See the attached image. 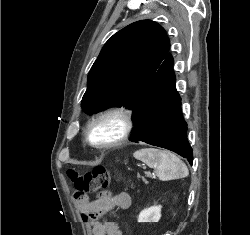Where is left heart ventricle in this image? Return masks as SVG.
Instances as JSON below:
<instances>
[{"label":"left heart ventricle","instance_id":"1","mask_svg":"<svg viewBox=\"0 0 250 235\" xmlns=\"http://www.w3.org/2000/svg\"><path fill=\"white\" fill-rule=\"evenodd\" d=\"M120 128V122L117 119H104L94 126L91 137L96 142L110 141L118 136Z\"/></svg>","mask_w":250,"mask_h":235}]
</instances>
